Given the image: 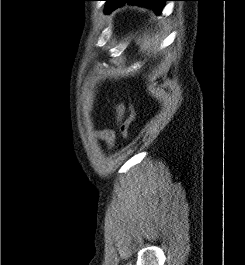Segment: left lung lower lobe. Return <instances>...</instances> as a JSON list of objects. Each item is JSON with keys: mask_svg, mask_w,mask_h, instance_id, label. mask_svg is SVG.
Returning a JSON list of instances; mask_svg holds the SVG:
<instances>
[{"mask_svg": "<svg viewBox=\"0 0 245 265\" xmlns=\"http://www.w3.org/2000/svg\"><path fill=\"white\" fill-rule=\"evenodd\" d=\"M165 1L171 0H108L105 7V13L108 14L117 7L128 3L152 8L157 14H160Z\"/></svg>", "mask_w": 245, "mask_h": 265, "instance_id": "1", "label": "left lung lower lobe"}]
</instances>
